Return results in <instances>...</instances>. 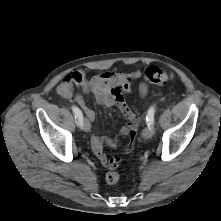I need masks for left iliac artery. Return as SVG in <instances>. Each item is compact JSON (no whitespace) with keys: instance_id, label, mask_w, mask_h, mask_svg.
Returning a JSON list of instances; mask_svg holds the SVG:
<instances>
[{"instance_id":"1","label":"left iliac artery","mask_w":221,"mask_h":221,"mask_svg":"<svg viewBox=\"0 0 221 221\" xmlns=\"http://www.w3.org/2000/svg\"><path fill=\"white\" fill-rule=\"evenodd\" d=\"M154 114H155V107L151 106L148 110L147 116H146V122L148 126H153L154 124Z\"/></svg>"}]
</instances>
